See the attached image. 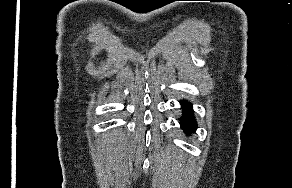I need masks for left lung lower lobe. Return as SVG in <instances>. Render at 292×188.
I'll list each match as a JSON object with an SVG mask.
<instances>
[{
    "mask_svg": "<svg viewBox=\"0 0 292 188\" xmlns=\"http://www.w3.org/2000/svg\"><path fill=\"white\" fill-rule=\"evenodd\" d=\"M191 108V105L187 102H183L181 105V109L183 111L182 117L180 119L181 128L187 133L194 132L197 127L195 117Z\"/></svg>",
    "mask_w": 292,
    "mask_h": 188,
    "instance_id": "0a47b994",
    "label": "left lung lower lobe"
}]
</instances>
